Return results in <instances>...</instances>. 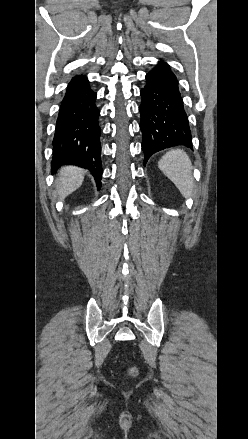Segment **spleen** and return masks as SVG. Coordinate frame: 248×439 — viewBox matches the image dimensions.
Listing matches in <instances>:
<instances>
[{"label":"spleen","instance_id":"spleen-1","mask_svg":"<svg viewBox=\"0 0 248 439\" xmlns=\"http://www.w3.org/2000/svg\"><path fill=\"white\" fill-rule=\"evenodd\" d=\"M158 167L184 197L192 196L194 187L192 163L185 151L171 149L160 159Z\"/></svg>","mask_w":248,"mask_h":439}]
</instances>
